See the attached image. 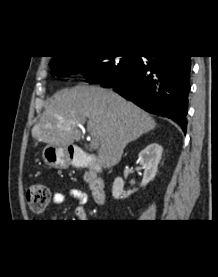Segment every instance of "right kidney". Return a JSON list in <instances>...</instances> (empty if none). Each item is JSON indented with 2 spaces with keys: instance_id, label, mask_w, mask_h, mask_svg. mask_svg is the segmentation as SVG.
<instances>
[{
  "instance_id": "obj_1",
  "label": "right kidney",
  "mask_w": 218,
  "mask_h": 277,
  "mask_svg": "<svg viewBox=\"0 0 218 277\" xmlns=\"http://www.w3.org/2000/svg\"><path fill=\"white\" fill-rule=\"evenodd\" d=\"M163 148L157 143L149 144L145 149H143L138 157L140 165L144 169L143 179L141 186H146L150 181H152L157 173L158 164L161 160ZM124 181L121 177H117L112 185V195L115 199L128 197L131 193L135 192L137 189L123 194ZM123 194V196H121Z\"/></svg>"
}]
</instances>
